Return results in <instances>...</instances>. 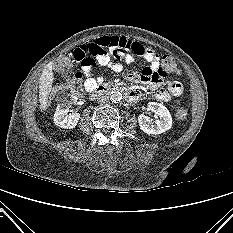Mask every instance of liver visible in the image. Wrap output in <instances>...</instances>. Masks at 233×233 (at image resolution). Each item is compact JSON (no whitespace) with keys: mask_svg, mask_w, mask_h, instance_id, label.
Segmentation results:
<instances>
[{"mask_svg":"<svg viewBox=\"0 0 233 233\" xmlns=\"http://www.w3.org/2000/svg\"><path fill=\"white\" fill-rule=\"evenodd\" d=\"M52 69V64L49 63L43 70L39 81V101L42 110H45L47 107L48 96L51 92L52 84L54 81Z\"/></svg>","mask_w":233,"mask_h":233,"instance_id":"6515ba94","label":"liver"}]
</instances>
